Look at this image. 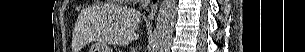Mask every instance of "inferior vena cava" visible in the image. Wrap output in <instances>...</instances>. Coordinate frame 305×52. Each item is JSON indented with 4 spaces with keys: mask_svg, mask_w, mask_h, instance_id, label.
<instances>
[{
    "mask_svg": "<svg viewBox=\"0 0 305 52\" xmlns=\"http://www.w3.org/2000/svg\"><path fill=\"white\" fill-rule=\"evenodd\" d=\"M150 4V0H141V9H146Z\"/></svg>",
    "mask_w": 305,
    "mask_h": 52,
    "instance_id": "inferior-vena-cava-1",
    "label": "inferior vena cava"
}]
</instances>
